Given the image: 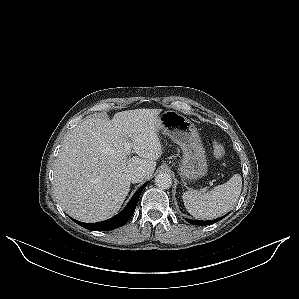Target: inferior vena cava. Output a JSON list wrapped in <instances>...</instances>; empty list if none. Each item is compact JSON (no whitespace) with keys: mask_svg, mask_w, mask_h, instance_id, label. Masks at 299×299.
<instances>
[{"mask_svg":"<svg viewBox=\"0 0 299 299\" xmlns=\"http://www.w3.org/2000/svg\"><path fill=\"white\" fill-rule=\"evenodd\" d=\"M128 178L132 183H139L144 180L145 172L141 169L134 170L129 173Z\"/></svg>","mask_w":299,"mask_h":299,"instance_id":"obj_1","label":"inferior vena cava"}]
</instances>
